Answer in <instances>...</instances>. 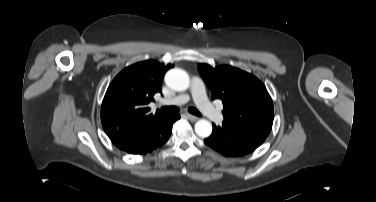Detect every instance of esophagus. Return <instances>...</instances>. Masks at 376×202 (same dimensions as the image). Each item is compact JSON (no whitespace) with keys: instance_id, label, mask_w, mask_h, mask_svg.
<instances>
[{"instance_id":"1","label":"esophagus","mask_w":376,"mask_h":202,"mask_svg":"<svg viewBox=\"0 0 376 202\" xmlns=\"http://www.w3.org/2000/svg\"><path fill=\"white\" fill-rule=\"evenodd\" d=\"M186 116L191 121H196L198 119V117H196V116H194L192 114H189V113H187Z\"/></svg>"}]
</instances>
